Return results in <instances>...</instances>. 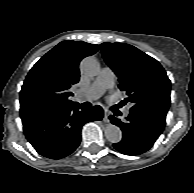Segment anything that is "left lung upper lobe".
<instances>
[{
  "instance_id": "1",
  "label": "left lung upper lobe",
  "mask_w": 194,
  "mask_h": 193,
  "mask_svg": "<svg viewBox=\"0 0 194 193\" xmlns=\"http://www.w3.org/2000/svg\"><path fill=\"white\" fill-rule=\"evenodd\" d=\"M102 55L119 78L130 111L166 116L170 106L171 83L160 63L134 46L102 43Z\"/></svg>"
}]
</instances>
